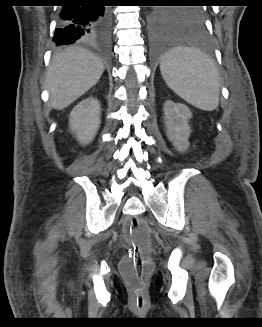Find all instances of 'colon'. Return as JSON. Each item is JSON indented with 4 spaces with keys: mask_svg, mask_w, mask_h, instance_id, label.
I'll return each mask as SVG.
<instances>
[{
    "mask_svg": "<svg viewBox=\"0 0 262 327\" xmlns=\"http://www.w3.org/2000/svg\"><path fill=\"white\" fill-rule=\"evenodd\" d=\"M125 232L133 244L132 254L124 260L122 272L136 296L137 301L144 302L145 286L150 271V264L144 256L148 244L149 231L146 223L139 218H132L125 226Z\"/></svg>",
    "mask_w": 262,
    "mask_h": 327,
    "instance_id": "5ec220e1",
    "label": "colon"
}]
</instances>
